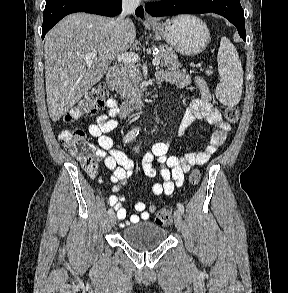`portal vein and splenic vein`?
Masks as SVG:
<instances>
[{
	"instance_id": "portal-vein-and-splenic-vein-1",
	"label": "portal vein and splenic vein",
	"mask_w": 288,
	"mask_h": 293,
	"mask_svg": "<svg viewBox=\"0 0 288 293\" xmlns=\"http://www.w3.org/2000/svg\"><path fill=\"white\" fill-rule=\"evenodd\" d=\"M97 56L96 53H86L83 55V58L86 61H92ZM119 62H128V63H136L140 60V57L136 53H123L117 56ZM154 66H158L160 63V58L155 57L152 61Z\"/></svg>"
}]
</instances>
